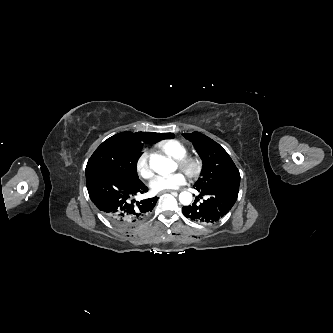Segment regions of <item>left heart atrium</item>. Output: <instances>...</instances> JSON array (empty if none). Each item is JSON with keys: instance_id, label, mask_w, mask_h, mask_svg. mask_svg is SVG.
Instances as JSON below:
<instances>
[{"instance_id": "left-heart-atrium-1", "label": "left heart atrium", "mask_w": 333, "mask_h": 333, "mask_svg": "<svg viewBox=\"0 0 333 333\" xmlns=\"http://www.w3.org/2000/svg\"><path fill=\"white\" fill-rule=\"evenodd\" d=\"M186 175L182 172H176L166 176H157L151 183L150 187L154 192H163L172 190L186 183Z\"/></svg>"}]
</instances>
